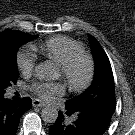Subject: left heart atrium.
I'll use <instances>...</instances> for the list:
<instances>
[{"label": "left heart atrium", "mask_w": 135, "mask_h": 135, "mask_svg": "<svg viewBox=\"0 0 135 135\" xmlns=\"http://www.w3.org/2000/svg\"><path fill=\"white\" fill-rule=\"evenodd\" d=\"M32 90L43 100L51 101L56 96L65 92L64 84L60 82H38L32 86Z\"/></svg>", "instance_id": "left-heart-atrium-1"}]
</instances>
